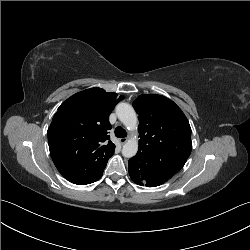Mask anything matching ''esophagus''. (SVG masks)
<instances>
[{
    "label": "esophagus",
    "mask_w": 250,
    "mask_h": 250,
    "mask_svg": "<svg viewBox=\"0 0 250 250\" xmlns=\"http://www.w3.org/2000/svg\"><path fill=\"white\" fill-rule=\"evenodd\" d=\"M119 142L123 145L127 142V138L123 137L119 139Z\"/></svg>",
    "instance_id": "esophagus-1"
}]
</instances>
